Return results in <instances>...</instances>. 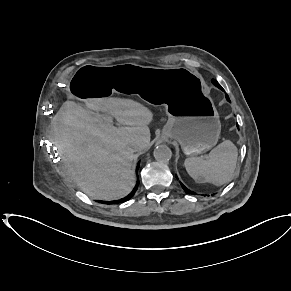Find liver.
<instances>
[{
  "label": "liver",
  "mask_w": 291,
  "mask_h": 291,
  "mask_svg": "<svg viewBox=\"0 0 291 291\" xmlns=\"http://www.w3.org/2000/svg\"><path fill=\"white\" fill-rule=\"evenodd\" d=\"M86 107L66 101L55 117V138L67 175L92 198L114 200L134 186L130 146L137 151L150 142L153 113L130 100L103 97L84 100ZM107 113L123 125L115 127L97 113Z\"/></svg>",
  "instance_id": "1"
}]
</instances>
